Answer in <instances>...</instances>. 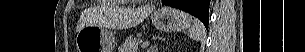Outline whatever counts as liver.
Wrapping results in <instances>:
<instances>
[{"label":"liver","instance_id":"6515ba94","mask_svg":"<svg viewBox=\"0 0 305 52\" xmlns=\"http://www.w3.org/2000/svg\"><path fill=\"white\" fill-rule=\"evenodd\" d=\"M153 7L128 8L114 6L108 13L109 26L113 29H129L140 24L151 12ZM88 11H84L77 25L76 31L88 25H95Z\"/></svg>","mask_w":305,"mask_h":52}]
</instances>
